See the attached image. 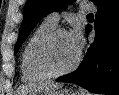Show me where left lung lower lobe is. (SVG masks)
Wrapping results in <instances>:
<instances>
[{
	"mask_svg": "<svg viewBox=\"0 0 119 95\" xmlns=\"http://www.w3.org/2000/svg\"><path fill=\"white\" fill-rule=\"evenodd\" d=\"M95 15V40L74 72L56 81L72 82L93 93L119 95V0H102ZM91 26L86 27L87 33Z\"/></svg>",
	"mask_w": 119,
	"mask_h": 95,
	"instance_id": "left-lung-lower-lobe-1",
	"label": "left lung lower lobe"
}]
</instances>
